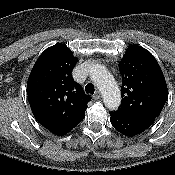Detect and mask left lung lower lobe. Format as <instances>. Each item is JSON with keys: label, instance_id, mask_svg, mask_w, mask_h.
I'll return each instance as SVG.
<instances>
[{"label": "left lung lower lobe", "instance_id": "obj_1", "mask_svg": "<svg viewBox=\"0 0 175 175\" xmlns=\"http://www.w3.org/2000/svg\"><path fill=\"white\" fill-rule=\"evenodd\" d=\"M112 126L125 136L132 137L148 129L155 120V117L144 116H124L114 112L110 113Z\"/></svg>", "mask_w": 175, "mask_h": 175}]
</instances>
